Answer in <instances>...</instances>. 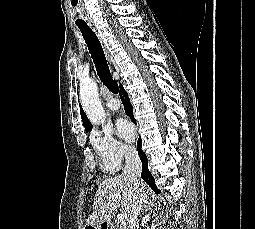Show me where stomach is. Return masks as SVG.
<instances>
[{
  "mask_svg": "<svg viewBox=\"0 0 255 229\" xmlns=\"http://www.w3.org/2000/svg\"><path fill=\"white\" fill-rule=\"evenodd\" d=\"M85 229H101V224L97 225V226H93V225H86Z\"/></svg>",
  "mask_w": 255,
  "mask_h": 229,
  "instance_id": "obj_1",
  "label": "stomach"
}]
</instances>
